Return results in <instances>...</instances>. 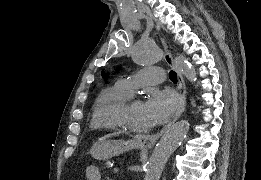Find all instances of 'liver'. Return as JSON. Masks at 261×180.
<instances>
[{
  "label": "liver",
  "mask_w": 261,
  "mask_h": 180,
  "mask_svg": "<svg viewBox=\"0 0 261 180\" xmlns=\"http://www.w3.org/2000/svg\"><path fill=\"white\" fill-rule=\"evenodd\" d=\"M118 134H123V132H114V134H107L104 138H100V140H106V138H111V136H118Z\"/></svg>",
  "instance_id": "obj_1"
}]
</instances>
